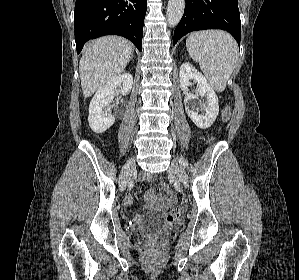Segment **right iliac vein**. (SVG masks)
Returning <instances> with one entry per match:
<instances>
[{"label": "right iliac vein", "instance_id": "63e3f726", "mask_svg": "<svg viewBox=\"0 0 299 280\" xmlns=\"http://www.w3.org/2000/svg\"><path fill=\"white\" fill-rule=\"evenodd\" d=\"M135 169V160H129L122 169L120 181H119V189L124 191L127 187V183L129 181L131 173Z\"/></svg>", "mask_w": 299, "mask_h": 280}]
</instances>
